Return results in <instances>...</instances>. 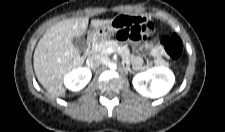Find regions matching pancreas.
Returning a JSON list of instances; mask_svg holds the SVG:
<instances>
[{
	"label": "pancreas",
	"instance_id": "obj_1",
	"mask_svg": "<svg viewBox=\"0 0 225 132\" xmlns=\"http://www.w3.org/2000/svg\"><path fill=\"white\" fill-rule=\"evenodd\" d=\"M108 48H112L114 50H117L118 53L121 55L123 61L129 65L130 63V51L127 46H119L118 42L114 40H103L99 43H96L93 47L94 53L101 55V56H107L109 53L106 51ZM164 66H169V63L164 61L162 63Z\"/></svg>",
	"mask_w": 225,
	"mask_h": 132
}]
</instances>
